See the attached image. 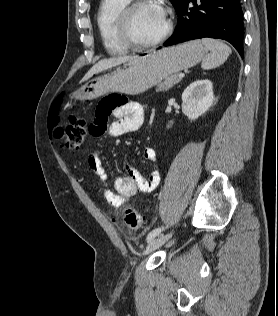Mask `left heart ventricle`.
I'll return each mask as SVG.
<instances>
[{
	"mask_svg": "<svg viewBox=\"0 0 278 316\" xmlns=\"http://www.w3.org/2000/svg\"><path fill=\"white\" fill-rule=\"evenodd\" d=\"M166 26V18L149 3L139 7L132 17V32L140 42H150L161 35Z\"/></svg>",
	"mask_w": 278,
	"mask_h": 316,
	"instance_id": "left-heart-ventricle-1",
	"label": "left heart ventricle"
}]
</instances>
